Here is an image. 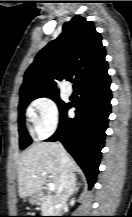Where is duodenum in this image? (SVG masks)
<instances>
[{
    "label": "duodenum",
    "mask_w": 132,
    "mask_h": 217,
    "mask_svg": "<svg viewBox=\"0 0 132 217\" xmlns=\"http://www.w3.org/2000/svg\"><path fill=\"white\" fill-rule=\"evenodd\" d=\"M50 197V193L47 190H40L38 193V198L41 201H44Z\"/></svg>",
    "instance_id": "410a0bca"
}]
</instances>
